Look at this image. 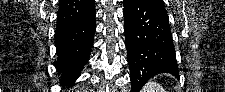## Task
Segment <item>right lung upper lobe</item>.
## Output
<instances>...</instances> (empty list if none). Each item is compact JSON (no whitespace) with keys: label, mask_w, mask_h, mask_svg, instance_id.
Listing matches in <instances>:
<instances>
[{"label":"right lung upper lobe","mask_w":225,"mask_h":92,"mask_svg":"<svg viewBox=\"0 0 225 92\" xmlns=\"http://www.w3.org/2000/svg\"><path fill=\"white\" fill-rule=\"evenodd\" d=\"M93 11H95L94 0H60L57 24L78 20Z\"/></svg>","instance_id":"right-lung-upper-lobe-1"}]
</instances>
